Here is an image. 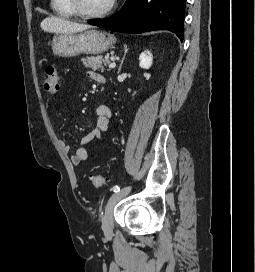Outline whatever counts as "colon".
<instances>
[{
  "label": "colon",
  "mask_w": 255,
  "mask_h": 272,
  "mask_svg": "<svg viewBox=\"0 0 255 272\" xmlns=\"http://www.w3.org/2000/svg\"><path fill=\"white\" fill-rule=\"evenodd\" d=\"M43 87L46 92L51 94H55L59 91L60 76L55 66L46 67L43 76ZM91 182L95 187H102L106 182V178L103 175H95L92 176Z\"/></svg>",
  "instance_id": "1"
}]
</instances>
